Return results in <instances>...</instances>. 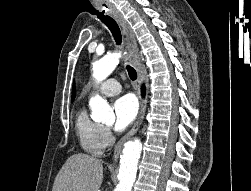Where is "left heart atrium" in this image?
<instances>
[{
    "label": "left heart atrium",
    "instance_id": "39dd6f15",
    "mask_svg": "<svg viewBox=\"0 0 251 191\" xmlns=\"http://www.w3.org/2000/svg\"><path fill=\"white\" fill-rule=\"evenodd\" d=\"M114 110V129L123 131L135 120L138 113L136 100L131 96H124L115 101Z\"/></svg>",
    "mask_w": 251,
    "mask_h": 191
}]
</instances>
